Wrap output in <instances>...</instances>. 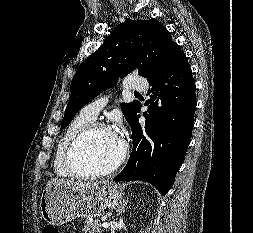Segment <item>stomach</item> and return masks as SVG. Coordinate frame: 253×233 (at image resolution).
<instances>
[{
	"instance_id": "obj_1",
	"label": "stomach",
	"mask_w": 253,
	"mask_h": 233,
	"mask_svg": "<svg viewBox=\"0 0 253 233\" xmlns=\"http://www.w3.org/2000/svg\"><path fill=\"white\" fill-rule=\"evenodd\" d=\"M121 191L111 183L84 190L63 185L46 186L40 198L42 218L51 225H62L77 217H95L122 203Z\"/></svg>"
}]
</instances>
